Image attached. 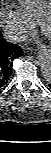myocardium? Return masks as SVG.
Here are the masks:
<instances>
[{
  "mask_svg": "<svg viewBox=\"0 0 51 153\" xmlns=\"http://www.w3.org/2000/svg\"><path fill=\"white\" fill-rule=\"evenodd\" d=\"M50 20H51V10L50 9L45 11L38 20L40 30L46 35H51V34H47V31H46V25L48 22H50Z\"/></svg>",
  "mask_w": 51,
  "mask_h": 153,
  "instance_id": "f54148a6",
  "label": "myocardium"
}]
</instances>
